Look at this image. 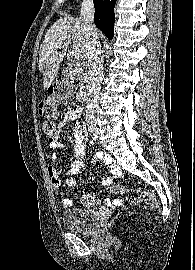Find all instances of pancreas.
<instances>
[{"label":"pancreas","mask_w":195,"mask_h":270,"mask_svg":"<svg viewBox=\"0 0 195 270\" xmlns=\"http://www.w3.org/2000/svg\"><path fill=\"white\" fill-rule=\"evenodd\" d=\"M74 75L77 76V78L82 82L85 83L87 81V72H86V68L80 64V63H76L75 64V68H74Z\"/></svg>","instance_id":"pancreas-1"}]
</instances>
